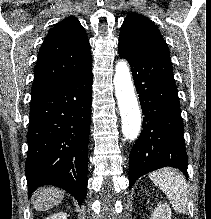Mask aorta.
I'll use <instances>...</instances> for the list:
<instances>
[{
	"mask_svg": "<svg viewBox=\"0 0 211 219\" xmlns=\"http://www.w3.org/2000/svg\"><path fill=\"white\" fill-rule=\"evenodd\" d=\"M115 95L122 117V132L126 139L135 140L141 129V113L135 96L129 66L125 60L116 65Z\"/></svg>",
	"mask_w": 211,
	"mask_h": 219,
	"instance_id": "762f6f07",
	"label": "aorta"
}]
</instances>
